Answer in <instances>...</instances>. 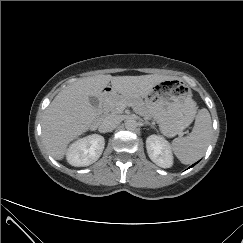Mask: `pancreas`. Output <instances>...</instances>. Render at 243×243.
I'll return each mask as SVG.
<instances>
[{
    "label": "pancreas",
    "mask_w": 243,
    "mask_h": 243,
    "mask_svg": "<svg viewBox=\"0 0 243 243\" xmlns=\"http://www.w3.org/2000/svg\"><path fill=\"white\" fill-rule=\"evenodd\" d=\"M120 104L131 106L136 113L149 117V113L142 100L127 98L121 95L114 96L111 100H109L104 106V111L111 114H120L122 113Z\"/></svg>",
    "instance_id": "obj_1"
}]
</instances>
